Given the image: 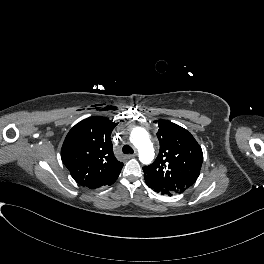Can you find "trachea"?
I'll use <instances>...</instances> for the list:
<instances>
[{
	"label": "trachea",
	"instance_id": "trachea-1",
	"mask_svg": "<svg viewBox=\"0 0 264 264\" xmlns=\"http://www.w3.org/2000/svg\"><path fill=\"white\" fill-rule=\"evenodd\" d=\"M122 151L124 154H133V152H134L132 147L129 145H124L122 148Z\"/></svg>",
	"mask_w": 264,
	"mask_h": 264
}]
</instances>
